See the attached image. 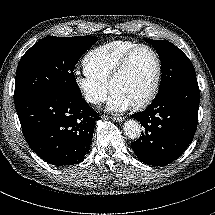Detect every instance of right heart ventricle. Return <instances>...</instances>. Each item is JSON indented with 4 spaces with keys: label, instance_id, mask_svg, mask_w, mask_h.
<instances>
[{
    "label": "right heart ventricle",
    "instance_id": "1",
    "mask_svg": "<svg viewBox=\"0 0 215 215\" xmlns=\"http://www.w3.org/2000/svg\"><path fill=\"white\" fill-rule=\"evenodd\" d=\"M135 45L131 40H114L95 47L83 58L84 71L107 84L118 60Z\"/></svg>",
    "mask_w": 215,
    "mask_h": 215
}]
</instances>
